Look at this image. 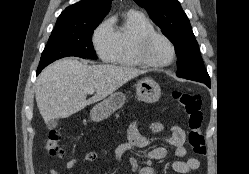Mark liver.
<instances>
[{"label": "liver", "instance_id": "liver-1", "mask_svg": "<svg viewBox=\"0 0 249 174\" xmlns=\"http://www.w3.org/2000/svg\"><path fill=\"white\" fill-rule=\"evenodd\" d=\"M145 71L109 64L87 65L68 58L46 67L36 83V102L45 123L67 118L96 103ZM90 91L96 94L86 99Z\"/></svg>", "mask_w": 249, "mask_h": 174}]
</instances>
